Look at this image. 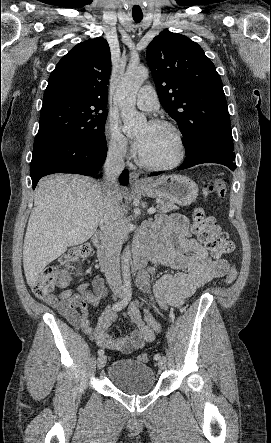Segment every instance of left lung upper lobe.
I'll use <instances>...</instances> for the list:
<instances>
[{"instance_id":"5c2ea615","label":"left lung upper lobe","mask_w":271,"mask_h":443,"mask_svg":"<svg viewBox=\"0 0 271 443\" xmlns=\"http://www.w3.org/2000/svg\"><path fill=\"white\" fill-rule=\"evenodd\" d=\"M147 63L159 100L184 137L186 152L208 134L232 137L221 78L197 43L165 30L149 44Z\"/></svg>"}]
</instances>
